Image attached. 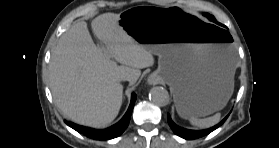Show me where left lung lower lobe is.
Returning <instances> with one entry per match:
<instances>
[{
  "mask_svg": "<svg viewBox=\"0 0 279 148\" xmlns=\"http://www.w3.org/2000/svg\"><path fill=\"white\" fill-rule=\"evenodd\" d=\"M228 116L229 115H227L219 124L215 125L214 127L206 129V130H199V131L188 130V129H184V128L178 127L177 125H175L173 123V121L171 120L169 114L167 116V119H168V123H169L171 129L173 130V132L176 135H178V136H180V137H182L184 139H187V140H192V139H197V138L203 137L205 135H208L209 133H211L212 131L217 129L221 124H223Z\"/></svg>",
  "mask_w": 279,
  "mask_h": 148,
  "instance_id": "1",
  "label": "left lung lower lobe"
}]
</instances>
